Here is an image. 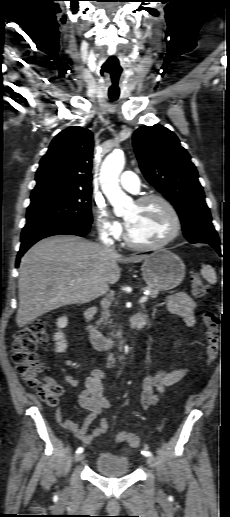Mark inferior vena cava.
Segmentation results:
<instances>
[{"mask_svg": "<svg viewBox=\"0 0 230 517\" xmlns=\"http://www.w3.org/2000/svg\"><path fill=\"white\" fill-rule=\"evenodd\" d=\"M99 239H100L102 245L105 247V249H109V248L114 249V246H113L114 241L111 238H109L107 235H100Z\"/></svg>", "mask_w": 230, "mask_h": 517, "instance_id": "obj_1", "label": "inferior vena cava"}]
</instances>
